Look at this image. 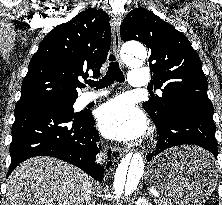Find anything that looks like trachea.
Instances as JSON below:
<instances>
[{
	"mask_svg": "<svg viewBox=\"0 0 222 205\" xmlns=\"http://www.w3.org/2000/svg\"><path fill=\"white\" fill-rule=\"evenodd\" d=\"M109 61L110 63L106 75L99 81H88L87 83L90 87L102 89L110 86L114 81L119 83H123L125 81L124 75L118 62L116 61L114 54H110Z\"/></svg>",
	"mask_w": 222,
	"mask_h": 205,
	"instance_id": "3493384b",
	"label": "trachea"
}]
</instances>
